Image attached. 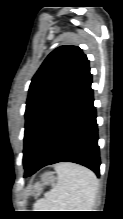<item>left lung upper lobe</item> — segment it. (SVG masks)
<instances>
[{
    "instance_id": "1",
    "label": "left lung upper lobe",
    "mask_w": 123,
    "mask_h": 219,
    "mask_svg": "<svg viewBox=\"0 0 123 219\" xmlns=\"http://www.w3.org/2000/svg\"><path fill=\"white\" fill-rule=\"evenodd\" d=\"M89 72V61L76 46L58 47L40 66L30 84L26 102L24 166L52 114Z\"/></svg>"
}]
</instances>
